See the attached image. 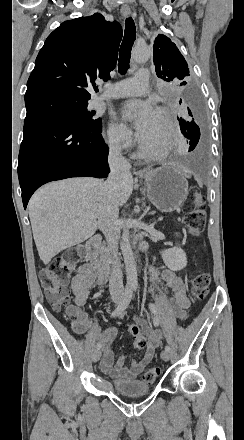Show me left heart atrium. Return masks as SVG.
<instances>
[{
  "instance_id": "1",
  "label": "left heart atrium",
  "mask_w": 244,
  "mask_h": 440,
  "mask_svg": "<svg viewBox=\"0 0 244 440\" xmlns=\"http://www.w3.org/2000/svg\"><path fill=\"white\" fill-rule=\"evenodd\" d=\"M131 107L135 108L137 112L136 126L143 132L150 124L155 111L148 102L144 101H135Z\"/></svg>"
}]
</instances>
